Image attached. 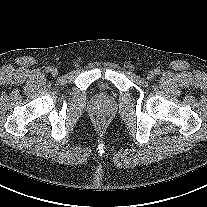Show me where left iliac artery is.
<instances>
[{
	"mask_svg": "<svg viewBox=\"0 0 207 207\" xmlns=\"http://www.w3.org/2000/svg\"><path fill=\"white\" fill-rule=\"evenodd\" d=\"M155 74H156V75H159V74H160V70H159V69H156V70H155Z\"/></svg>",
	"mask_w": 207,
	"mask_h": 207,
	"instance_id": "obj_1",
	"label": "left iliac artery"
}]
</instances>
